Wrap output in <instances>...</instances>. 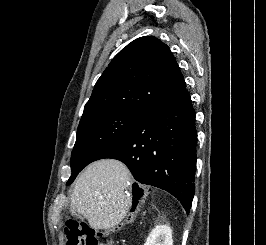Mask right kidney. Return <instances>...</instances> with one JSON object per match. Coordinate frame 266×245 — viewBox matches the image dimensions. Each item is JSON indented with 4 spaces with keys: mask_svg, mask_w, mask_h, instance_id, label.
<instances>
[{
    "mask_svg": "<svg viewBox=\"0 0 266 245\" xmlns=\"http://www.w3.org/2000/svg\"><path fill=\"white\" fill-rule=\"evenodd\" d=\"M144 245H156V227L152 229L149 237H147L146 243Z\"/></svg>",
    "mask_w": 266,
    "mask_h": 245,
    "instance_id": "ca27d5eb",
    "label": "right kidney"
}]
</instances>
